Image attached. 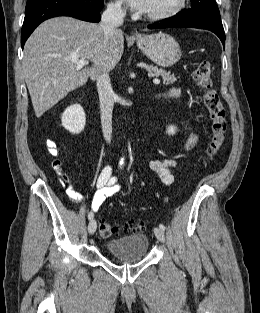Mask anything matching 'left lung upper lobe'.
Masks as SVG:
<instances>
[{
	"label": "left lung upper lobe",
	"instance_id": "5c2ea615",
	"mask_svg": "<svg viewBox=\"0 0 260 313\" xmlns=\"http://www.w3.org/2000/svg\"><path fill=\"white\" fill-rule=\"evenodd\" d=\"M192 7L188 11L177 13L171 19L184 17L191 20L211 22L222 25L219 9L215 0H191Z\"/></svg>",
	"mask_w": 260,
	"mask_h": 313
}]
</instances>
